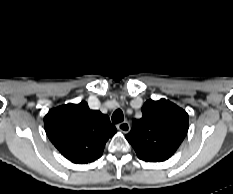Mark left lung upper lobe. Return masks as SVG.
Wrapping results in <instances>:
<instances>
[{"mask_svg":"<svg viewBox=\"0 0 233 194\" xmlns=\"http://www.w3.org/2000/svg\"><path fill=\"white\" fill-rule=\"evenodd\" d=\"M142 112L143 117L133 121L126 139L141 160L162 162L169 159L187 134L188 114L165 99L146 101Z\"/></svg>","mask_w":233,"mask_h":194,"instance_id":"5c2ea615","label":"left lung upper lobe"}]
</instances>
